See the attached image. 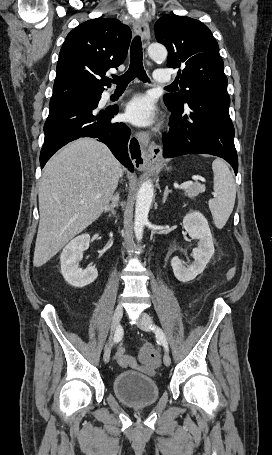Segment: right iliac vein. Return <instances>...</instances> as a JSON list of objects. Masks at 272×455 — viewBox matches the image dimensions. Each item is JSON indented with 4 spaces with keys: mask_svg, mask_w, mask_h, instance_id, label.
I'll return each mask as SVG.
<instances>
[{
    "mask_svg": "<svg viewBox=\"0 0 272 455\" xmlns=\"http://www.w3.org/2000/svg\"><path fill=\"white\" fill-rule=\"evenodd\" d=\"M122 316H123V308L119 304L116 306V308L114 310V314H113V318H112V325H111V338H110V341H109L107 347L105 348L104 354H103V360L105 363H108L110 360L111 343H112L113 334H114L116 328L119 326Z\"/></svg>",
    "mask_w": 272,
    "mask_h": 455,
    "instance_id": "63e3f726",
    "label": "right iliac vein"
}]
</instances>
